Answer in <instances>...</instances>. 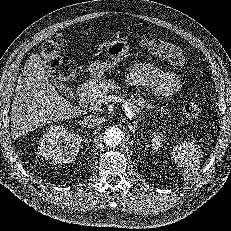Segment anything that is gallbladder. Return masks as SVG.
I'll use <instances>...</instances> for the list:
<instances>
[{"instance_id": "1", "label": "gallbladder", "mask_w": 231, "mask_h": 231, "mask_svg": "<svg viewBox=\"0 0 231 231\" xmlns=\"http://www.w3.org/2000/svg\"><path fill=\"white\" fill-rule=\"evenodd\" d=\"M47 76L53 83V85L65 96L67 97H73V91L62 84V78L61 76L54 75L55 71H51L50 68H46Z\"/></svg>"}]
</instances>
